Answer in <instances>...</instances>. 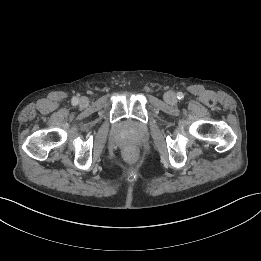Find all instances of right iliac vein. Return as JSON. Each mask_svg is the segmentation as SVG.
<instances>
[{"label": "right iliac vein", "instance_id": "obj_1", "mask_svg": "<svg viewBox=\"0 0 261 261\" xmlns=\"http://www.w3.org/2000/svg\"><path fill=\"white\" fill-rule=\"evenodd\" d=\"M81 106H87L88 105V99L86 97H82L79 101Z\"/></svg>", "mask_w": 261, "mask_h": 261}]
</instances>
